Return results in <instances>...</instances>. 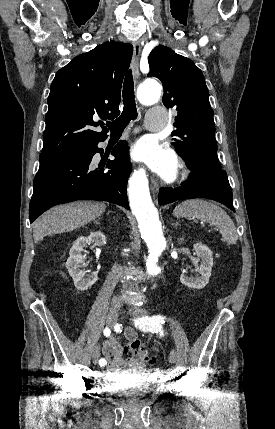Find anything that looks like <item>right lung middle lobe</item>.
<instances>
[{"mask_svg":"<svg viewBox=\"0 0 275 429\" xmlns=\"http://www.w3.org/2000/svg\"><path fill=\"white\" fill-rule=\"evenodd\" d=\"M76 149H77V148H76ZM73 150H75V149H73ZM73 150H71V151H73ZM71 151H68V152H66V153H64V154H67V153H69V152H71ZM64 154H62V155H64ZM62 155H60V156H62ZM57 157H58V156H57ZM54 158H56V157H54ZM50 159H52V158H50ZM45 160H48V159H41V158H40V162H41V161H45Z\"/></svg>","mask_w":275,"mask_h":429,"instance_id":"1","label":"right lung middle lobe"}]
</instances>
